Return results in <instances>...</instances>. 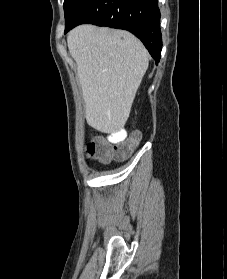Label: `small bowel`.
<instances>
[{"label": "small bowel", "instance_id": "1", "mask_svg": "<svg viewBox=\"0 0 227 279\" xmlns=\"http://www.w3.org/2000/svg\"><path fill=\"white\" fill-rule=\"evenodd\" d=\"M127 138V134L124 130H119L113 133L111 136L105 137V140L110 144L119 143Z\"/></svg>", "mask_w": 227, "mask_h": 279}]
</instances>
